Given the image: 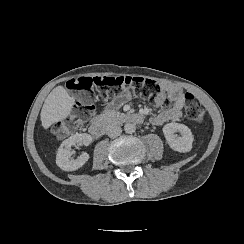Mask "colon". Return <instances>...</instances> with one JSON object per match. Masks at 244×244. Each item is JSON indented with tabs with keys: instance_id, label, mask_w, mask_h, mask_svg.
Instances as JSON below:
<instances>
[{
	"instance_id": "colon-1",
	"label": "colon",
	"mask_w": 244,
	"mask_h": 244,
	"mask_svg": "<svg viewBox=\"0 0 244 244\" xmlns=\"http://www.w3.org/2000/svg\"><path fill=\"white\" fill-rule=\"evenodd\" d=\"M75 83V80L70 81L74 89L84 92L79 98L81 106L76 107L68 119L52 126V133L59 137L76 132L79 128L78 123L88 120V106L93 105L99 97L105 100L116 99L122 97L125 91L130 90L135 97L149 99L159 105H167L169 102L163 89L157 86L154 80L141 76L98 77L88 74L80 78L77 84ZM94 88H98L100 92L94 91ZM185 100L186 118L201 122L204 119V110L200 101L193 94H187Z\"/></svg>"
}]
</instances>
